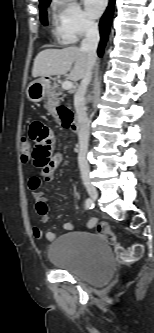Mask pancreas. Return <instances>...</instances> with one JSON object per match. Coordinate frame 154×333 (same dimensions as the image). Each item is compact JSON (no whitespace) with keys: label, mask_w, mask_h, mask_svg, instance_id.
<instances>
[{"label":"pancreas","mask_w":154,"mask_h":333,"mask_svg":"<svg viewBox=\"0 0 154 333\" xmlns=\"http://www.w3.org/2000/svg\"><path fill=\"white\" fill-rule=\"evenodd\" d=\"M60 95H62V90L60 88H53L49 92L47 102L45 104V107L49 112H55L56 107L60 102V99L58 98Z\"/></svg>","instance_id":"pancreas-1"}]
</instances>
